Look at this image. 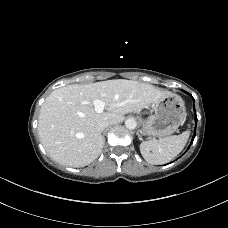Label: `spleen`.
Returning <instances> with one entry per match:
<instances>
[{"instance_id": "3e777b00", "label": "spleen", "mask_w": 228, "mask_h": 228, "mask_svg": "<svg viewBox=\"0 0 228 228\" xmlns=\"http://www.w3.org/2000/svg\"><path fill=\"white\" fill-rule=\"evenodd\" d=\"M189 134L187 130L180 135L144 141L140 144V152L148 163L156 165L168 163L183 150Z\"/></svg>"}]
</instances>
